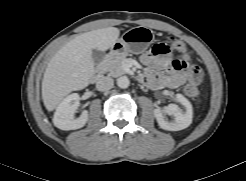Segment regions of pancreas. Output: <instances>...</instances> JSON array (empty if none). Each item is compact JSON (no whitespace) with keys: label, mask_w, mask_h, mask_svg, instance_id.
<instances>
[{"label":"pancreas","mask_w":246,"mask_h":181,"mask_svg":"<svg viewBox=\"0 0 246 181\" xmlns=\"http://www.w3.org/2000/svg\"><path fill=\"white\" fill-rule=\"evenodd\" d=\"M127 54L115 56L114 58L106 59L101 65V71L108 73L110 76L117 77L126 74L128 71L123 66Z\"/></svg>","instance_id":"pancreas-1"}]
</instances>
